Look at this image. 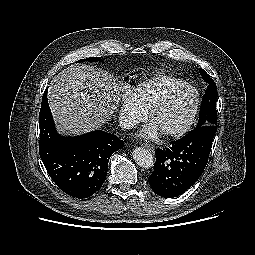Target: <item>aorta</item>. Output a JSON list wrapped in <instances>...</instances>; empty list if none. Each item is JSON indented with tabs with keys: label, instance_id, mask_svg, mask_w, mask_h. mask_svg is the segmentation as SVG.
<instances>
[{
	"label": "aorta",
	"instance_id": "1",
	"mask_svg": "<svg viewBox=\"0 0 255 255\" xmlns=\"http://www.w3.org/2000/svg\"><path fill=\"white\" fill-rule=\"evenodd\" d=\"M136 164L145 169H150L154 165L153 155L145 148L137 147L132 152Z\"/></svg>",
	"mask_w": 255,
	"mask_h": 255
}]
</instances>
